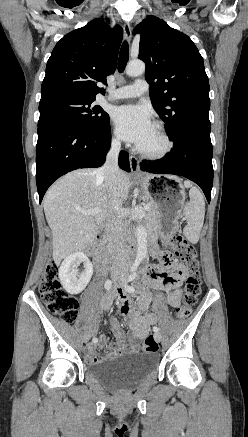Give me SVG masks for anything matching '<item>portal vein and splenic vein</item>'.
Wrapping results in <instances>:
<instances>
[{
    "label": "portal vein and splenic vein",
    "mask_w": 248,
    "mask_h": 437,
    "mask_svg": "<svg viewBox=\"0 0 248 437\" xmlns=\"http://www.w3.org/2000/svg\"><path fill=\"white\" fill-rule=\"evenodd\" d=\"M149 209H150V205H149V204H146V205L144 206V210L147 211V210H149ZM81 212H82L83 214H86V215L98 216L100 210H99V209H91V210H87V211L82 210Z\"/></svg>",
    "instance_id": "18ae733b"
}]
</instances>
